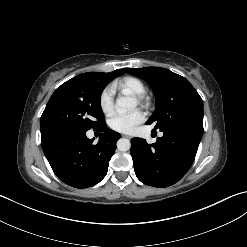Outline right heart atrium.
Wrapping results in <instances>:
<instances>
[{
  "label": "right heart atrium",
  "instance_id": "right-heart-atrium-1",
  "mask_svg": "<svg viewBox=\"0 0 247 247\" xmlns=\"http://www.w3.org/2000/svg\"><path fill=\"white\" fill-rule=\"evenodd\" d=\"M99 105L105 114H110L114 109V94L110 88L102 91L99 98Z\"/></svg>",
  "mask_w": 247,
  "mask_h": 247
}]
</instances>
